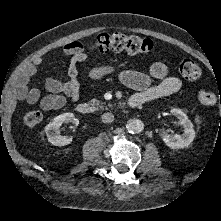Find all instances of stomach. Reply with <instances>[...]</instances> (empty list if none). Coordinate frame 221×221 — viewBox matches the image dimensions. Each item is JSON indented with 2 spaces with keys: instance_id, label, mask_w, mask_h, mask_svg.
I'll return each mask as SVG.
<instances>
[{
  "instance_id": "obj_1",
  "label": "stomach",
  "mask_w": 221,
  "mask_h": 221,
  "mask_svg": "<svg viewBox=\"0 0 221 221\" xmlns=\"http://www.w3.org/2000/svg\"><path fill=\"white\" fill-rule=\"evenodd\" d=\"M115 68L110 65H103L99 67H94L89 71L88 76L93 80H100L106 75L113 73Z\"/></svg>"
}]
</instances>
